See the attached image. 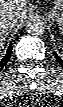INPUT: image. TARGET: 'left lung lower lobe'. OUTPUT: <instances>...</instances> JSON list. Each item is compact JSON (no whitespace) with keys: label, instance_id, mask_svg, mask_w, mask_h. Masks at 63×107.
<instances>
[{"label":"left lung lower lobe","instance_id":"obj_1","mask_svg":"<svg viewBox=\"0 0 63 107\" xmlns=\"http://www.w3.org/2000/svg\"><path fill=\"white\" fill-rule=\"evenodd\" d=\"M55 58L58 60V62L63 66V59H61L56 53Z\"/></svg>","mask_w":63,"mask_h":107}]
</instances>
